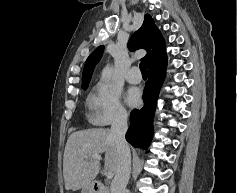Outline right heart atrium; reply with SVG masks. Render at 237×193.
<instances>
[{
    "label": "right heart atrium",
    "instance_id": "d8ad5b80",
    "mask_svg": "<svg viewBox=\"0 0 237 193\" xmlns=\"http://www.w3.org/2000/svg\"><path fill=\"white\" fill-rule=\"evenodd\" d=\"M88 108L92 121L98 125L122 123L128 118L120 92L107 83H99L93 88L88 98Z\"/></svg>",
    "mask_w": 237,
    "mask_h": 193
}]
</instances>
